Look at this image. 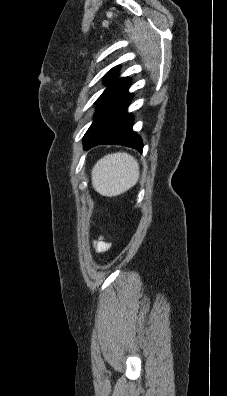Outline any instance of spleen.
I'll return each mask as SVG.
<instances>
[{"label": "spleen", "mask_w": 227, "mask_h": 396, "mask_svg": "<svg viewBox=\"0 0 227 396\" xmlns=\"http://www.w3.org/2000/svg\"><path fill=\"white\" fill-rule=\"evenodd\" d=\"M139 179V165L125 152L108 154L92 169L93 188L102 196L120 195L133 187Z\"/></svg>", "instance_id": "obj_1"}]
</instances>
